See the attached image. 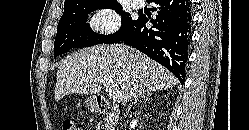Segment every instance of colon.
Here are the masks:
<instances>
[{"mask_svg":"<svg viewBox=\"0 0 249 130\" xmlns=\"http://www.w3.org/2000/svg\"><path fill=\"white\" fill-rule=\"evenodd\" d=\"M62 130H83L73 120L65 119L62 123Z\"/></svg>","mask_w":249,"mask_h":130,"instance_id":"5ec220e1","label":"colon"}]
</instances>
